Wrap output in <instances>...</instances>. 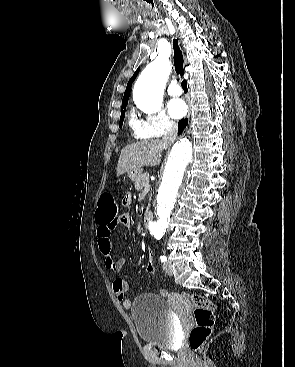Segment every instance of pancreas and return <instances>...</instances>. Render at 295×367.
Masks as SVG:
<instances>
[{"mask_svg":"<svg viewBox=\"0 0 295 367\" xmlns=\"http://www.w3.org/2000/svg\"><path fill=\"white\" fill-rule=\"evenodd\" d=\"M146 183H149V178L147 174H143L141 178L135 182V188L141 192H144Z\"/></svg>","mask_w":295,"mask_h":367,"instance_id":"1","label":"pancreas"}]
</instances>
